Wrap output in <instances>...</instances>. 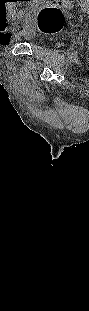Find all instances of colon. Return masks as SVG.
Returning a JSON list of instances; mask_svg holds the SVG:
<instances>
[{"instance_id": "1", "label": "colon", "mask_w": 89, "mask_h": 311, "mask_svg": "<svg viewBox=\"0 0 89 311\" xmlns=\"http://www.w3.org/2000/svg\"><path fill=\"white\" fill-rule=\"evenodd\" d=\"M1 21L5 26L8 25V20L5 15L1 17ZM65 22V14L58 8L46 6L40 10L37 17V27L43 33H55L59 31ZM25 25L23 23L13 24V29L22 31Z\"/></svg>"}]
</instances>
